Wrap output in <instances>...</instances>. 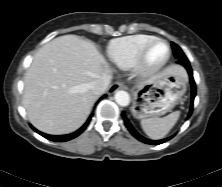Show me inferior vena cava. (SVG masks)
<instances>
[{
  "label": "inferior vena cava",
  "instance_id": "inferior-vena-cava-1",
  "mask_svg": "<svg viewBox=\"0 0 222 187\" xmlns=\"http://www.w3.org/2000/svg\"><path fill=\"white\" fill-rule=\"evenodd\" d=\"M111 80L110 75H103L101 78L93 81L90 85L91 91L96 94V95H101L103 94Z\"/></svg>",
  "mask_w": 222,
  "mask_h": 187
}]
</instances>
